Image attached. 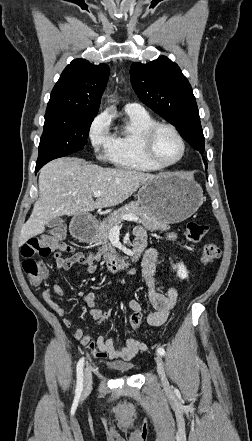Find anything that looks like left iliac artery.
Segmentation results:
<instances>
[{"instance_id": "left-iliac-artery-1", "label": "left iliac artery", "mask_w": 252, "mask_h": 441, "mask_svg": "<svg viewBox=\"0 0 252 441\" xmlns=\"http://www.w3.org/2000/svg\"><path fill=\"white\" fill-rule=\"evenodd\" d=\"M157 352H158V354L161 355V356H164V355H165V350H164V348H162V347H159V348L157 349Z\"/></svg>"}]
</instances>
